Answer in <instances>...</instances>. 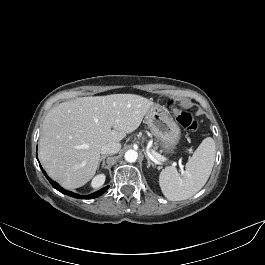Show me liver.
<instances>
[{
    "instance_id": "liver-1",
    "label": "liver",
    "mask_w": 265,
    "mask_h": 265,
    "mask_svg": "<svg viewBox=\"0 0 265 265\" xmlns=\"http://www.w3.org/2000/svg\"><path fill=\"white\" fill-rule=\"evenodd\" d=\"M152 106L150 99L135 94L82 97L59 104L43 121L39 139L43 167L66 189L85 185L96 173L102 146L119 143L135 131Z\"/></svg>"
}]
</instances>
